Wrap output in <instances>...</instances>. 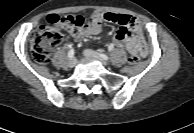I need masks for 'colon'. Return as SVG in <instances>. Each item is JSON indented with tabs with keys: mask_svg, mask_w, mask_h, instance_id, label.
<instances>
[{
	"mask_svg": "<svg viewBox=\"0 0 194 133\" xmlns=\"http://www.w3.org/2000/svg\"><path fill=\"white\" fill-rule=\"evenodd\" d=\"M84 25L83 17L76 14L48 16L47 24L39 26L31 37L30 47L33 59L39 64H46L53 49L62 41L63 31L76 34ZM139 59L140 56L134 54L130 57L129 63L135 64Z\"/></svg>",
	"mask_w": 194,
	"mask_h": 133,
	"instance_id": "obj_1",
	"label": "colon"
}]
</instances>
